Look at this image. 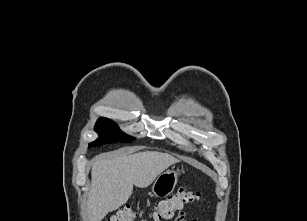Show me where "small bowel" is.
Here are the masks:
<instances>
[{
	"label": "small bowel",
	"mask_w": 307,
	"mask_h": 221,
	"mask_svg": "<svg viewBox=\"0 0 307 221\" xmlns=\"http://www.w3.org/2000/svg\"><path fill=\"white\" fill-rule=\"evenodd\" d=\"M145 221V220H143ZM173 221H197L196 219H191V220H188L187 217H186V214L184 211H180L176 216L175 218L173 219Z\"/></svg>",
	"instance_id": "small-bowel-1"
}]
</instances>
